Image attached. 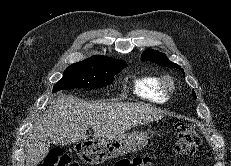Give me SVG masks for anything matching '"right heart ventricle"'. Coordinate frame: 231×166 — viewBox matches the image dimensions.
<instances>
[{
    "label": "right heart ventricle",
    "instance_id": "right-heart-ventricle-1",
    "mask_svg": "<svg viewBox=\"0 0 231 166\" xmlns=\"http://www.w3.org/2000/svg\"><path fill=\"white\" fill-rule=\"evenodd\" d=\"M133 92L140 99L155 103H164L168 100L159 87V77L154 74L140 75L133 80Z\"/></svg>",
    "mask_w": 231,
    "mask_h": 166
}]
</instances>
